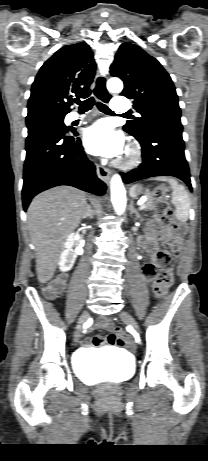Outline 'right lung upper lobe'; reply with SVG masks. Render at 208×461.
<instances>
[{"instance_id": "right-lung-upper-lobe-1", "label": "right lung upper lobe", "mask_w": 208, "mask_h": 461, "mask_svg": "<svg viewBox=\"0 0 208 461\" xmlns=\"http://www.w3.org/2000/svg\"><path fill=\"white\" fill-rule=\"evenodd\" d=\"M96 64L84 42L59 49L40 68L31 89L27 117H65L74 95L86 98Z\"/></svg>"}]
</instances>
